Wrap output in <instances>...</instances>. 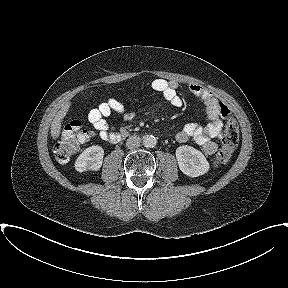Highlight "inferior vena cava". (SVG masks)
Masks as SVG:
<instances>
[{"instance_id":"1","label":"inferior vena cava","mask_w":288,"mask_h":288,"mask_svg":"<svg viewBox=\"0 0 288 288\" xmlns=\"http://www.w3.org/2000/svg\"><path fill=\"white\" fill-rule=\"evenodd\" d=\"M141 144V138L138 136H130L126 141V147L128 149H136Z\"/></svg>"}]
</instances>
